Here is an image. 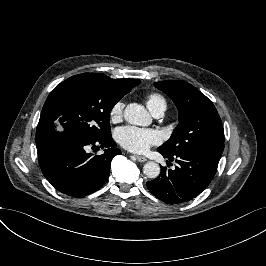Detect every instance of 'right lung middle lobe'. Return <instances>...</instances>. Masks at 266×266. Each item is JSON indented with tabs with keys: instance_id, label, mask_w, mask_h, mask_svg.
Returning <instances> with one entry per match:
<instances>
[{
	"instance_id": "1",
	"label": "right lung middle lobe",
	"mask_w": 266,
	"mask_h": 266,
	"mask_svg": "<svg viewBox=\"0 0 266 266\" xmlns=\"http://www.w3.org/2000/svg\"><path fill=\"white\" fill-rule=\"evenodd\" d=\"M140 80L111 79L104 74L84 73L57 85L49 94L36 131V144L64 132L87 139L111 135L113 106Z\"/></svg>"
}]
</instances>
